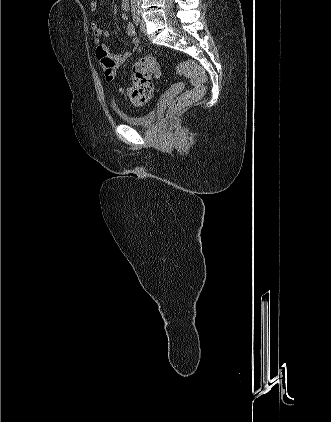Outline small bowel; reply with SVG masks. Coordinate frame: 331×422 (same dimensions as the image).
<instances>
[{
    "label": "small bowel",
    "instance_id": "obj_1",
    "mask_svg": "<svg viewBox=\"0 0 331 422\" xmlns=\"http://www.w3.org/2000/svg\"><path fill=\"white\" fill-rule=\"evenodd\" d=\"M97 8L98 2L96 0H91L90 10L95 12ZM121 9L123 11L121 18L126 20L129 8H126L124 3L121 2ZM90 29L94 34L96 57L100 63L103 76L107 81H112L114 79L116 69L132 57L135 51L139 48L141 41L139 38H133L131 40L130 50L121 54H115L111 52L109 46L102 42V37H108L110 35V31L95 22L91 23ZM125 33L129 37H133L135 35V27L132 23H127Z\"/></svg>",
    "mask_w": 331,
    "mask_h": 422
}]
</instances>
